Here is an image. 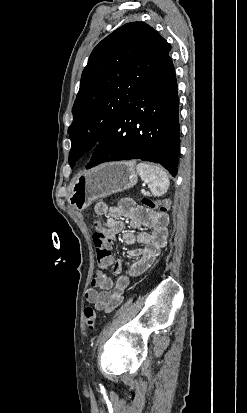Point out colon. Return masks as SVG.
I'll use <instances>...</instances> for the list:
<instances>
[{"instance_id": "1", "label": "colon", "mask_w": 247, "mask_h": 413, "mask_svg": "<svg viewBox=\"0 0 247 413\" xmlns=\"http://www.w3.org/2000/svg\"><path fill=\"white\" fill-rule=\"evenodd\" d=\"M141 204L151 205L153 210H164V212L170 211L173 208V202L168 198L159 200H153L150 198H144L140 202ZM95 227H104V222H95ZM94 245L97 247V264L109 265L112 258V250L109 244H106V237L102 230H97L91 236ZM86 327L94 329L97 323V312L92 307H86L83 311Z\"/></svg>"}]
</instances>
